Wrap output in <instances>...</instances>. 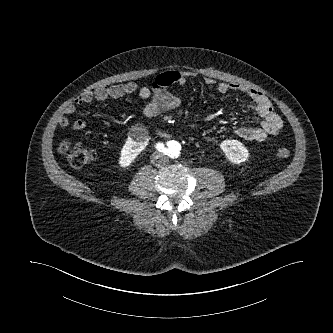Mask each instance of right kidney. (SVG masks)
Here are the masks:
<instances>
[{
    "label": "right kidney",
    "mask_w": 333,
    "mask_h": 333,
    "mask_svg": "<svg viewBox=\"0 0 333 333\" xmlns=\"http://www.w3.org/2000/svg\"><path fill=\"white\" fill-rule=\"evenodd\" d=\"M148 143L147 136L128 137L120 152L119 165L129 167Z\"/></svg>",
    "instance_id": "1"
}]
</instances>
